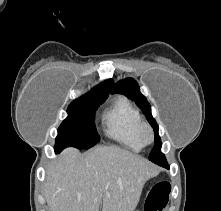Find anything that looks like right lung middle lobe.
<instances>
[{
	"label": "right lung middle lobe",
	"mask_w": 221,
	"mask_h": 211,
	"mask_svg": "<svg viewBox=\"0 0 221 211\" xmlns=\"http://www.w3.org/2000/svg\"><path fill=\"white\" fill-rule=\"evenodd\" d=\"M107 96L96 98H79L68 107V117L58 128L55 151L60 152L66 147L88 149L99 141L94 124L96 109Z\"/></svg>",
	"instance_id": "obj_1"
}]
</instances>
